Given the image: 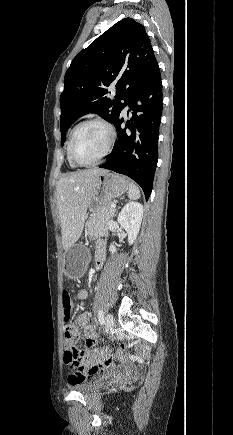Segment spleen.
Masks as SVG:
<instances>
[{
	"instance_id": "spleen-1",
	"label": "spleen",
	"mask_w": 233,
	"mask_h": 435,
	"mask_svg": "<svg viewBox=\"0 0 233 435\" xmlns=\"http://www.w3.org/2000/svg\"><path fill=\"white\" fill-rule=\"evenodd\" d=\"M140 196L141 194L139 188L133 182H130L128 188V197L132 200H136L140 198Z\"/></svg>"
}]
</instances>
